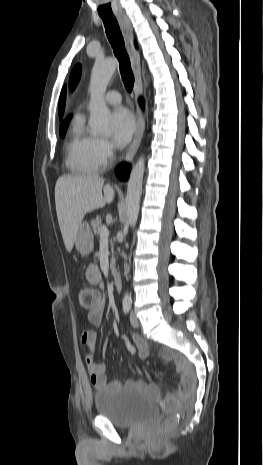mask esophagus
<instances>
[{"label":"esophagus","mask_w":263,"mask_h":465,"mask_svg":"<svg viewBox=\"0 0 263 465\" xmlns=\"http://www.w3.org/2000/svg\"><path fill=\"white\" fill-rule=\"evenodd\" d=\"M117 19H118L120 28L122 30V33L125 39L127 50L130 55L132 69H133L134 76H135L134 93L136 97H138L142 92V75H141V66H140V55L134 46L133 28H132L130 20L125 14H119L117 16ZM136 120H137L136 131H135L132 143L127 150V153L125 156L126 161H131L134 155L136 154L140 146L144 128H145L144 116L138 104L136 106Z\"/></svg>","instance_id":"1"}]
</instances>
